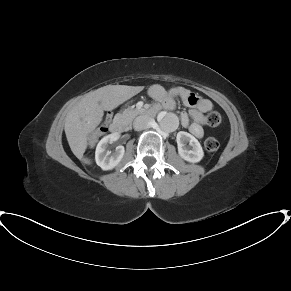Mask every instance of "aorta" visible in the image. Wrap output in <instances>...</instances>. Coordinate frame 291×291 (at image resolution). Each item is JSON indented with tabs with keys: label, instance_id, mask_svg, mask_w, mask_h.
Wrapping results in <instances>:
<instances>
[{
	"label": "aorta",
	"instance_id": "obj_1",
	"mask_svg": "<svg viewBox=\"0 0 291 291\" xmlns=\"http://www.w3.org/2000/svg\"><path fill=\"white\" fill-rule=\"evenodd\" d=\"M159 125L164 132H173L179 125V120L176 115L167 113L159 116Z\"/></svg>",
	"mask_w": 291,
	"mask_h": 291
}]
</instances>
